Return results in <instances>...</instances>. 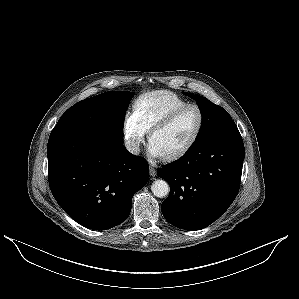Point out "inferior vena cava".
I'll list each match as a JSON object with an SVG mask.
<instances>
[{
    "label": "inferior vena cava",
    "mask_w": 299,
    "mask_h": 299,
    "mask_svg": "<svg viewBox=\"0 0 299 299\" xmlns=\"http://www.w3.org/2000/svg\"><path fill=\"white\" fill-rule=\"evenodd\" d=\"M124 145L130 153L134 155H138L140 153L139 143L134 141H126Z\"/></svg>",
    "instance_id": "1"
}]
</instances>
